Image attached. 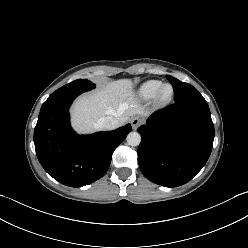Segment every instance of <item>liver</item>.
<instances>
[{"label": "liver", "mask_w": 248, "mask_h": 248, "mask_svg": "<svg viewBox=\"0 0 248 248\" xmlns=\"http://www.w3.org/2000/svg\"><path fill=\"white\" fill-rule=\"evenodd\" d=\"M133 86L130 79H120L79 97L72 108L73 127L84 133L99 129L97 122L102 117L114 116L123 125L134 114L146 115L140 105L133 101Z\"/></svg>", "instance_id": "obj_1"}]
</instances>
